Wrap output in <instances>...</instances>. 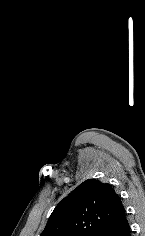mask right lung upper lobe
Wrapping results in <instances>:
<instances>
[{"mask_svg": "<svg viewBox=\"0 0 145 236\" xmlns=\"http://www.w3.org/2000/svg\"><path fill=\"white\" fill-rule=\"evenodd\" d=\"M124 214L111 185L86 180L56 206L40 236H96Z\"/></svg>", "mask_w": 145, "mask_h": 236, "instance_id": "right-lung-upper-lobe-1", "label": "right lung upper lobe"}]
</instances>
